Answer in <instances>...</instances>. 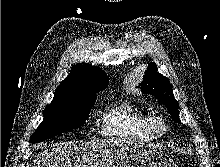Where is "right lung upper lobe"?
Listing matches in <instances>:
<instances>
[{
    "instance_id": "right-lung-upper-lobe-1",
    "label": "right lung upper lobe",
    "mask_w": 220,
    "mask_h": 167,
    "mask_svg": "<svg viewBox=\"0 0 220 167\" xmlns=\"http://www.w3.org/2000/svg\"><path fill=\"white\" fill-rule=\"evenodd\" d=\"M108 83L107 75L91 64H76L55 90L53 100L76 96H96Z\"/></svg>"
}]
</instances>
